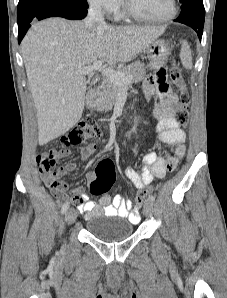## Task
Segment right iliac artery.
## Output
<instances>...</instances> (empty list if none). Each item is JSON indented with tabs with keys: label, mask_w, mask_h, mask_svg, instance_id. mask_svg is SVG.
Wrapping results in <instances>:
<instances>
[{
	"label": "right iliac artery",
	"mask_w": 227,
	"mask_h": 298,
	"mask_svg": "<svg viewBox=\"0 0 227 298\" xmlns=\"http://www.w3.org/2000/svg\"><path fill=\"white\" fill-rule=\"evenodd\" d=\"M69 208V203L68 202H65L63 205H62V209H61V212L62 214L65 213Z\"/></svg>",
	"instance_id": "obj_1"
}]
</instances>
